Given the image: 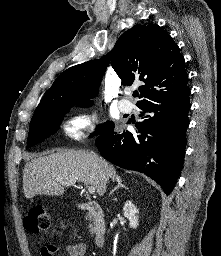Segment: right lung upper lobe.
Wrapping results in <instances>:
<instances>
[{
	"label": "right lung upper lobe",
	"mask_w": 221,
	"mask_h": 256,
	"mask_svg": "<svg viewBox=\"0 0 221 256\" xmlns=\"http://www.w3.org/2000/svg\"><path fill=\"white\" fill-rule=\"evenodd\" d=\"M109 60L124 85L144 82L139 87L143 99L137 106L151 99L189 91L185 60L172 37L156 24H137L123 33L103 58L62 72L38 107L62 98L92 103L88 99L96 96Z\"/></svg>",
	"instance_id": "cb5924a9"
}]
</instances>
